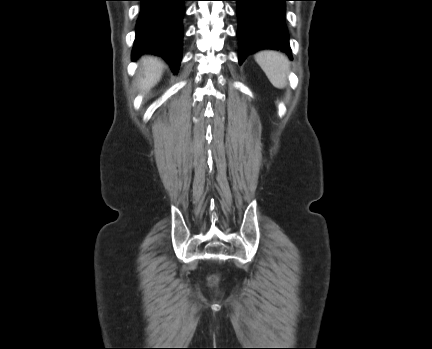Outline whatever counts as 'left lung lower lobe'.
<instances>
[{"label":"left lung lower lobe","instance_id":"left-lung-lower-lobe-1","mask_svg":"<svg viewBox=\"0 0 432 349\" xmlns=\"http://www.w3.org/2000/svg\"><path fill=\"white\" fill-rule=\"evenodd\" d=\"M237 1L239 20V63L260 49L282 50L291 58L287 29L284 23L287 0Z\"/></svg>","mask_w":432,"mask_h":349}]
</instances>
